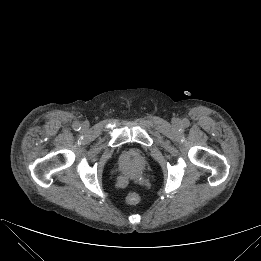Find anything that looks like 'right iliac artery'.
<instances>
[{"mask_svg": "<svg viewBox=\"0 0 261 261\" xmlns=\"http://www.w3.org/2000/svg\"><path fill=\"white\" fill-rule=\"evenodd\" d=\"M73 128H74V130L79 131V130L81 129V126H80L79 123H75V124L73 125Z\"/></svg>", "mask_w": 261, "mask_h": 261, "instance_id": "82829eb1", "label": "right iliac artery"}]
</instances>
